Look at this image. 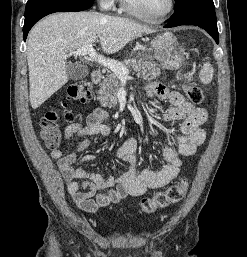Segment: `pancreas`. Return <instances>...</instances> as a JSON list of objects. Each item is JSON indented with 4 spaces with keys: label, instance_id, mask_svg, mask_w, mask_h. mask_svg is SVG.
Instances as JSON below:
<instances>
[{
    "label": "pancreas",
    "instance_id": "cf45deb5",
    "mask_svg": "<svg viewBox=\"0 0 247 257\" xmlns=\"http://www.w3.org/2000/svg\"><path fill=\"white\" fill-rule=\"evenodd\" d=\"M124 66L133 69L137 77L144 80L155 79L160 74V69L149 61L137 60L135 58L126 60ZM98 100L103 107H116L119 80L115 73H109L103 78L99 85Z\"/></svg>",
    "mask_w": 247,
    "mask_h": 257
}]
</instances>
